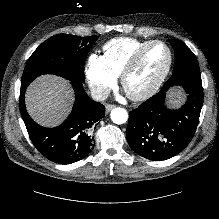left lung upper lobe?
Returning <instances> with one entry per match:
<instances>
[{
    "mask_svg": "<svg viewBox=\"0 0 219 219\" xmlns=\"http://www.w3.org/2000/svg\"><path fill=\"white\" fill-rule=\"evenodd\" d=\"M168 42L174 48L175 53L173 75L169 80L186 73L200 74L199 65L193 52L178 39H170Z\"/></svg>",
    "mask_w": 219,
    "mask_h": 219,
    "instance_id": "1",
    "label": "left lung upper lobe"
}]
</instances>
